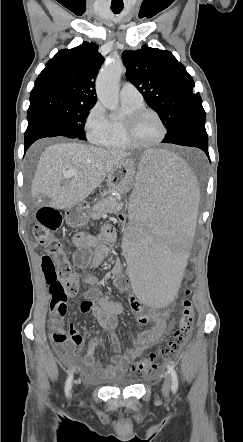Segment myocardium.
<instances>
[{
	"mask_svg": "<svg viewBox=\"0 0 243 442\" xmlns=\"http://www.w3.org/2000/svg\"><path fill=\"white\" fill-rule=\"evenodd\" d=\"M145 114L154 115L157 118L158 122L160 123L161 129H162L160 137L152 143H140V142L136 141L134 138V129H135L136 123ZM123 133H124V138L130 147L140 148V149H149V148H154V147L160 145L164 141V139L167 136V126L165 124L164 119L162 118V116L160 115V113L158 111H156L155 109H152V108L142 107V108H139V109L129 113L124 118Z\"/></svg>",
	"mask_w": 243,
	"mask_h": 442,
	"instance_id": "obj_1",
	"label": "myocardium"
}]
</instances>
